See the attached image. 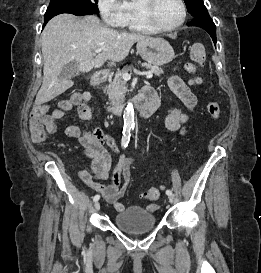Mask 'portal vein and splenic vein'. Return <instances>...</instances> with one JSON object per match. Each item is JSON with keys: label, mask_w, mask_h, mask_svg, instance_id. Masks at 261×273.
Here are the masks:
<instances>
[{"label": "portal vein and splenic vein", "mask_w": 261, "mask_h": 273, "mask_svg": "<svg viewBox=\"0 0 261 273\" xmlns=\"http://www.w3.org/2000/svg\"><path fill=\"white\" fill-rule=\"evenodd\" d=\"M103 50H104L103 47L97 48V49H95V53L98 54ZM140 74L144 75L147 79L152 78V76H153L152 72H140ZM122 78H123V80H129L131 78V75L129 73H123Z\"/></svg>", "instance_id": "1"}]
</instances>
